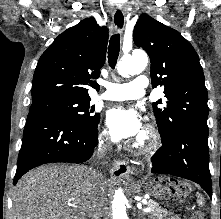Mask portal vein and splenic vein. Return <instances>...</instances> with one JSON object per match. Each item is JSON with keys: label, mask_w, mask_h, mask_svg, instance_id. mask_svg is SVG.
Masks as SVG:
<instances>
[{"label": "portal vein and splenic vein", "mask_w": 221, "mask_h": 219, "mask_svg": "<svg viewBox=\"0 0 221 219\" xmlns=\"http://www.w3.org/2000/svg\"><path fill=\"white\" fill-rule=\"evenodd\" d=\"M138 208H139L140 210H142L143 212H145V213H148V212L151 211V208H150V207H148V208H142V205H141V204L138 205Z\"/></svg>", "instance_id": "portal-vein-and-splenic-vein-1"}]
</instances>
